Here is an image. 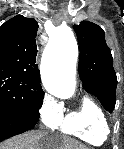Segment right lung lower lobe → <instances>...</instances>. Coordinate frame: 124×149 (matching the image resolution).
Returning <instances> with one entry per match:
<instances>
[{
	"label": "right lung lower lobe",
	"mask_w": 124,
	"mask_h": 149,
	"mask_svg": "<svg viewBox=\"0 0 124 149\" xmlns=\"http://www.w3.org/2000/svg\"><path fill=\"white\" fill-rule=\"evenodd\" d=\"M39 116L33 113L0 111V142L32 129L39 120Z\"/></svg>",
	"instance_id": "right-lung-lower-lobe-1"
}]
</instances>
